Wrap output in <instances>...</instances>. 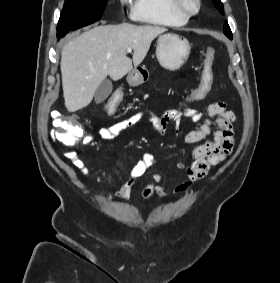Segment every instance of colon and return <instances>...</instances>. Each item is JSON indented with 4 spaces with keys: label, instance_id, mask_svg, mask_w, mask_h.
<instances>
[{
    "label": "colon",
    "instance_id": "1",
    "mask_svg": "<svg viewBox=\"0 0 280 283\" xmlns=\"http://www.w3.org/2000/svg\"><path fill=\"white\" fill-rule=\"evenodd\" d=\"M214 60V51L208 49L204 57V70L201 73L197 84L192 87V91L187 95L185 101L189 105H194L195 102H203L207 95H211L212 80L214 78V70H211L212 62ZM117 93L111 94L110 99H106V115L114 116L115 108L123 98L122 88H117ZM56 129L53 132L54 139L66 147L74 146L79 138L82 136L84 129L76 121L69 119H78V114H63L52 113Z\"/></svg>",
    "mask_w": 280,
    "mask_h": 283
}]
</instances>
